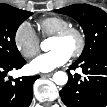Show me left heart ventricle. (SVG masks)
<instances>
[{
    "instance_id": "1",
    "label": "left heart ventricle",
    "mask_w": 107,
    "mask_h": 107,
    "mask_svg": "<svg viewBox=\"0 0 107 107\" xmlns=\"http://www.w3.org/2000/svg\"><path fill=\"white\" fill-rule=\"evenodd\" d=\"M78 45V37L75 34L69 35L67 38L58 40L52 38L50 43V49H63L71 54Z\"/></svg>"
}]
</instances>
